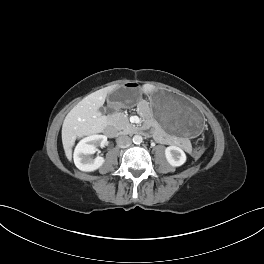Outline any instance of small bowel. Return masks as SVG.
Listing matches in <instances>:
<instances>
[{
  "label": "small bowel",
  "instance_id": "obj_1",
  "mask_svg": "<svg viewBox=\"0 0 264 264\" xmlns=\"http://www.w3.org/2000/svg\"><path fill=\"white\" fill-rule=\"evenodd\" d=\"M156 136H157V138H159L160 140H162V141H167L165 138H164V136H163V134H162V132L161 131H156ZM181 145L184 147V149H186V150H189L190 149V145H189V143L187 142V141H182L181 142Z\"/></svg>",
  "mask_w": 264,
  "mask_h": 264
}]
</instances>
